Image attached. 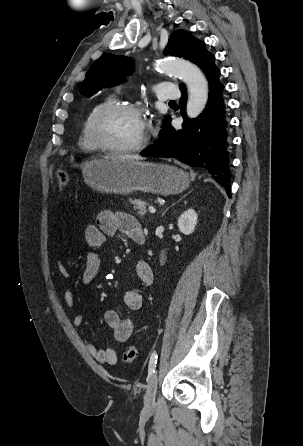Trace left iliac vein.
Instances as JSON below:
<instances>
[{"label":"left iliac vein","mask_w":303,"mask_h":446,"mask_svg":"<svg viewBox=\"0 0 303 446\" xmlns=\"http://www.w3.org/2000/svg\"><path fill=\"white\" fill-rule=\"evenodd\" d=\"M157 384H158V377H157V372H155L152 374V376L148 381L146 394L144 397V406L147 411L152 410L154 407Z\"/></svg>","instance_id":"1"}]
</instances>
